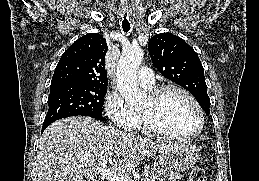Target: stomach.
<instances>
[{
    "label": "stomach",
    "mask_w": 259,
    "mask_h": 181,
    "mask_svg": "<svg viewBox=\"0 0 259 181\" xmlns=\"http://www.w3.org/2000/svg\"><path fill=\"white\" fill-rule=\"evenodd\" d=\"M157 158L162 168L183 172L195 165L199 151L190 143L172 142L159 151Z\"/></svg>",
    "instance_id": "obj_1"
}]
</instances>
